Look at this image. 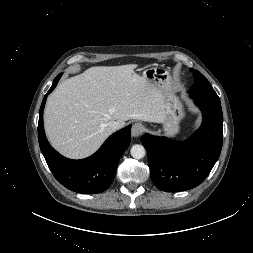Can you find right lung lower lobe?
<instances>
[{
  "instance_id": "1",
  "label": "right lung lower lobe",
  "mask_w": 253,
  "mask_h": 253,
  "mask_svg": "<svg viewBox=\"0 0 253 253\" xmlns=\"http://www.w3.org/2000/svg\"><path fill=\"white\" fill-rule=\"evenodd\" d=\"M59 74L45 95L39 112L38 140L42 154L55 176L66 188L82 194H97L105 191L114 179L121 155L131 141V125L111 135L92 156L71 160L56 152L46 139L43 127V110L47 95L56 87Z\"/></svg>"
}]
</instances>
